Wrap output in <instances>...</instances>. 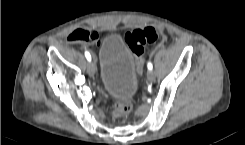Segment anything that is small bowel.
<instances>
[{
	"label": "small bowel",
	"instance_id": "c3829d8e",
	"mask_svg": "<svg viewBox=\"0 0 245 145\" xmlns=\"http://www.w3.org/2000/svg\"><path fill=\"white\" fill-rule=\"evenodd\" d=\"M98 41H99V39H98V36H97V39L93 42V44H97Z\"/></svg>",
	"mask_w": 245,
	"mask_h": 145
}]
</instances>
